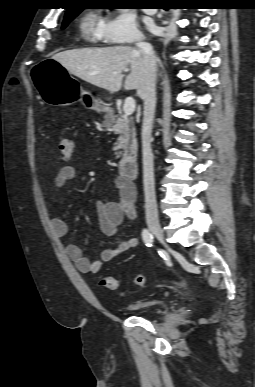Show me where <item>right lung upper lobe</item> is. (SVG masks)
Returning a JSON list of instances; mask_svg holds the SVG:
<instances>
[{"mask_svg": "<svg viewBox=\"0 0 255 387\" xmlns=\"http://www.w3.org/2000/svg\"><path fill=\"white\" fill-rule=\"evenodd\" d=\"M73 8H75V7H73ZM73 8H68V9H67V12H68L69 10L73 9Z\"/></svg>", "mask_w": 255, "mask_h": 387, "instance_id": "1", "label": "right lung upper lobe"}]
</instances>
